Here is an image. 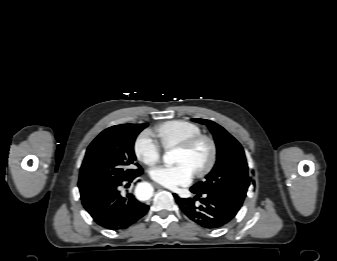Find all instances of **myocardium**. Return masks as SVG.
<instances>
[{
  "mask_svg": "<svg viewBox=\"0 0 337 261\" xmlns=\"http://www.w3.org/2000/svg\"><path fill=\"white\" fill-rule=\"evenodd\" d=\"M201 143L208 144L210 149V156L205 166L194 171V174L197 177H203L210 173L216 164L218 157V148L214 138L209 135L199 134L178 145V149H182L184 151H192Z\"/></svg>",
  "mask_w": 337,
  "mask_h": 261,
  "instance_id": "obj_1",
  "label": "myocardium"
}]
</instances>
